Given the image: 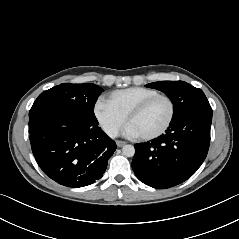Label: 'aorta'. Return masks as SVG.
I'll return each mask as SVG.
<instances>
[{
    "label": "aorta",
    "mask_w": 239,
    "mask_h": 239,
    "mask_svg": "<svg viewBox=\"0 0 239 239\" xmlns=\"http://www.w3.org/2000/svg\"><path fill=\"white\" fill-rule=\"evenodd\" d=\"M122 153L126 157H133L135 154V148L132 145H125L122 148Z\"/></svg>",
    "instance_id": "762f6f07"
}]
</instances>
